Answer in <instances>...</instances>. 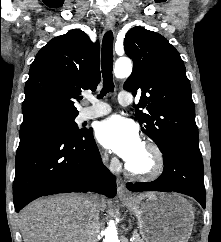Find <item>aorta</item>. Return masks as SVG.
<instances>
[{
	"label": "aorta",
	"instance_id": "obj_1",
	"mask_svg": "<svg viewBox=\"0 0 221 242\" xmlns=\"http://www.w3.org/2000/svg\"><path fill=\"white\" fill-rule=\"evenodd\" d=\"M132 72V63L129 58H119L115 63L114 74L118 79L127 78ZM103 242H120L118 239V232L113 222L104 230Z\"/></svg>",
	"mask_w": 221,
	"mask_h": 242
}]
</instances>
